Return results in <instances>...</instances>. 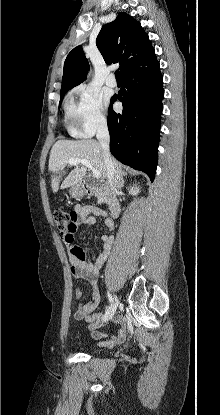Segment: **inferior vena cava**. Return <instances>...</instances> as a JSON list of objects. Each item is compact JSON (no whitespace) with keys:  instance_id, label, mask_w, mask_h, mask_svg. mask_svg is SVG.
I'll return each mask as SVG.
<instances>
[{"instance_id":"obj_1","label":"inferior vena cava","mask_w":220,"mask_h":415,"mask_svg":"<svg viewBox=\"0 0 220 415\" xmlns=\"http://www.w3.org/2000/svg\"><path fill=\"white\" fill-rule=\"evenodd\" d=\"M96 137L102 147L103 160H104V164L106 167V176L110 184V190H111V193L109 194V197H108V202H109L110 209H112V207L114 206V202H115V192L117 191V187H118L116 185V181L120 178L116 177L114 163L110 156V150H109L110 136H109L107 124L105 122H101L98 125Z\"/></svg>"}]
</instances>
